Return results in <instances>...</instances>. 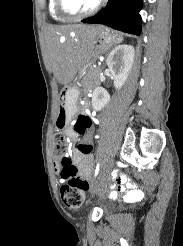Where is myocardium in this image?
Here are the masks:
<instances>
[{"mask_svg": "<svg viewBox=\"0 0 183 246\" xmlns=\"http://www.w3.org/2000/svg\"><path fill=\"white\" fill-rule=\"evenodd\" d=\"M104 1L105 0H98L91 9L82 13H73L69 11L65 5V0H55V5H56L57 12L62 17L69 20H79L95 14L101 8Z\"/></svg>", "mask_w": 183, "mask_h": 246, "instance_id": "1", "label": "myocardium"}]
</instances>
